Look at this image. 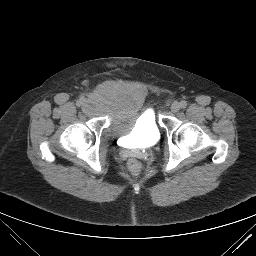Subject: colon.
Instances as JSON below:
<instances>
[{
    "mask_svg": "<svg viewBox=\"0 0 256 256\" xmlns=\"http://www.w3.org/2000/svg\"><path fill=\"white\" fill-rule=\"evenodd\" d=\"M128 169L132 175H138L141 170V164L137 159H130L128 161Z\"/></svg>",
    "mask_w": 256,
    "mask_h": 256,
    "instance_id": "5ec220e1",
    "label": "colon"
}]
</instances>
